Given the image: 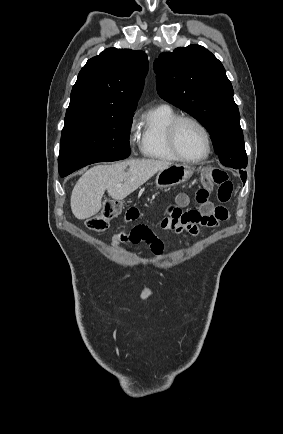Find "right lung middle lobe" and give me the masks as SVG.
Listing matches in <instances>:
<instances>
[{"label":"right lung middle lobe","mask_w":283,"mask_h":434,"mask_svg":"<svg viewBox=\"0 0 283 434\" xmlns=\"http://www.w3.org/2000/svg\"><path fill=\"white\" fill-rule=\"evenodd\" d=\"M133 115L65 119L58 158L60 176L95 162L127 158Z\"/></svg>","instance_id":"dd1d6c3e"}]
</instances>
